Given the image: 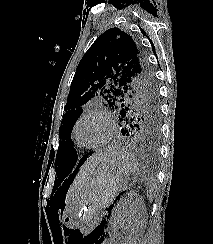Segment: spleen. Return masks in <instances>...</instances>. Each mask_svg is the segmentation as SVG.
<instances>
[{
    "instance_id": "obj_1",
    "label": "spleen",
    "mask_w": 213,
    "mask_h": 244,
    "mask_svg": "<svg viewBox=\"0 0 213 244\" xmlns=\"http://www.w3.org/2000/svg\"><path fill=\"white\" fill-rule=\"evenodd\" d=\"M120 159L123 163V167L131 173L134 178L135 177H140L142 181H148V178L145 175V172L142 171V168L136 161V159L129 153L121 151L119 154Z\"/></svg>"
}]
</instances>
